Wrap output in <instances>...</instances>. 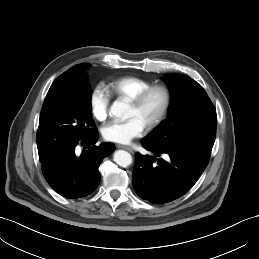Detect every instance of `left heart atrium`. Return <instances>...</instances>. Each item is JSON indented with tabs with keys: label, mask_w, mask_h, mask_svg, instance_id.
Here are the masks:
<instances>
[{
	"label": "left heart atrium",
	"mask_w": 259,
	"mask_h": 259,
	"mask_svg": "<svg viewBox=\"0 0 259 259\" xmlns=\"http://www.w3.org/2000/svg\"><path fill=\"white\" fill-rule=\"evenodd\" d=\"M146 129V125L138 118L132 117L125 121H113L103 128V136L106 140L126 144L134 138L140 137Z\"/></svg>",
	"instance_id": "obj_1"
}]
</instances>
